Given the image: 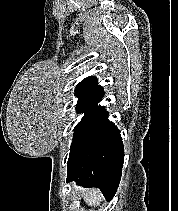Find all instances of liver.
Returning <instances> with one entry per match:
<instances>
[{
    "label": "liver",
    "mask_w": 178,
    "mask_h": 211,
    "mask_svg": "<svg viewBox=\"0 0 178 211\" xmlns=\"http://www.w3.org/2000/svg\"><path fill=\"white\" fill-rule=\"evenodd\" d=\"M75 190L81 192V197L88 206L99 205L103 200V195L98 189L83 190L76 187Z\"/></svg>",
    "instance_id": "6515ba94"
}]
</instances>
